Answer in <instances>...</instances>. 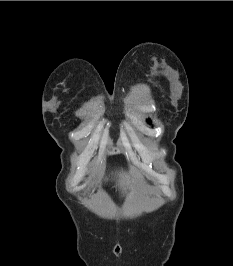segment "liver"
Masks as SVG:
<instances>
[{"mask_svg":"<svg viewBox=\"0 0 233 266\" xmlns=\"http://www.w3.org/2000/svg\"><path fill=\"white\" fill-rule=\"evenodd\" d=\"M140 179L138 174L119 172L117 174V186L124 192L127 188H130L134 182Z\"/></svg>","mask_w":233,"mask_h":266,"instance_id":"liver-1","label":"liver"}]
</instances>
